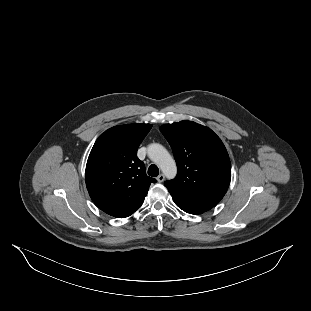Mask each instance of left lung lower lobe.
I'll return each mask as SVG.
<instances>
[{
    "label": "left lung lower lobe",
    "mask_w": 311,
    "mask_h": 311,
    "mask_svg": "<svg viewBox=\"0 0 311 311\" xmlns=\"http://www.w3.org/2000/svg\"><path fill=\"white\" fill-rule=\"evenodd\" d=\"M172 195V198L175 202V204L182 209L183 211L190 213V214H200L205 211L210 210L212 207L207 206V205H202V204H196L193 202L186 201L176 195Z\"/></svg>",
    "instance_id": "0a47b994"
}]
</instances>
